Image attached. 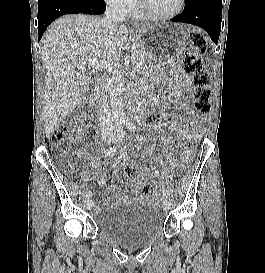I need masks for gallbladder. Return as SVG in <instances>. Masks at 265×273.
I'll return each instance as SVG.
<instances>
[{
    "mask_svg": "<svg viewBox=\"0 0 265 273\" xmlns=\"http://www.w3.org/2000/svg\"><path fill=\"white\" fill-rule=\"evenodd\" d=\"M93 86V84L91 85V87ZM86 97L82 100L81 102V106L85 105L87 103L88 97L90 95V92L88 91L86 94Z\"/></svg>",
    "mask_w": 265,
    "mask_h": 273,
    "instance_id": "gallbladder-1",
    "label": "gallbladder"
}]
</instances>
